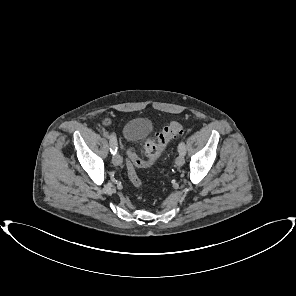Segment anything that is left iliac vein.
Segmentation results:
<instances>
[{"label":"left iliac vein","instance_id":"left-iliac-vein-1","mask_svg":"<svg viewBox=\"0 0 296 296\" xmlns=\"http://www.w3.org/2000/svg\"><path fill=\"white\" fill-rule=\"evenodd\" d=\"M177 166H182L184 164V155L179 154L175 161Z\"/></svg>","mask_w":296,"mask_h":296}]
</instances>
